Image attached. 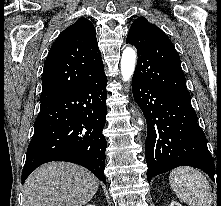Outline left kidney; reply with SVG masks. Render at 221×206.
I'll list each match as a JSON object with an SVG mask.
<instances>
[{"mask_svg": "<svg viewBox=\"0 0 221 206\" xmlns=\"http://www.w3.org/2000/svg\"><path fill=\"white\" fill-rule=\"evenodd\" d=\"M170 206H182V205L178 203L177 201H172Z\"/></svg>", "mask_w": 221, "mask_h": 206, "instance_id": "1", "label": "left kidney"}]
</instances>
